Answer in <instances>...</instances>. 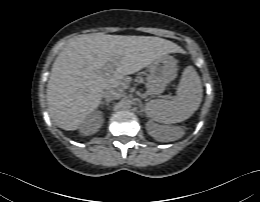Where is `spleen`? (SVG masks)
Here are the masks:
<instances>
[{"mask_svg": "<svg viewBox=\"0 0 260 202\" xmlns=\"http://www.w3.org/2000/svg\"><path fill=\"white\" fill-rule=\"evenodd\" d=\"M202 85L199 75L192 66H187L180 79L177 95L173 100L156 99L146 104V113L153 121L171 124L188 119L202 100ZM175 134L171 140L177 139Z\"/></svg>", "mask_w": 260, "mask_h": 202, "instance_id": "spleen-1", "label": "spleen"}]
</instances>
